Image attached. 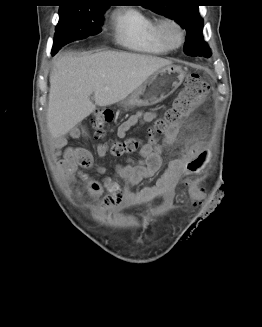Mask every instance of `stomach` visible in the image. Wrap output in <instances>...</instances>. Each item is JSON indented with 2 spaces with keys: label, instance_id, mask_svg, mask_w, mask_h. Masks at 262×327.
Returning <instances> with one entry per match:
<instances>
[{
  "label": "stomach",
  "instance_id": "stomach-1",
  "mask_svg": "<svg viewBox=\"0 0 262 327\" xmlns=\"http://www.w3.org/2000/svg\"><path fill=\"white\" fill-rule=\"evenodd\" d=\"M185 73L180 66L168 65L152 74L127 99L128 107L150 106L171 95L182 83Z\"/></svg>",
  "mask_w": 262,
  "mask_h": 327
}]
</instances>
